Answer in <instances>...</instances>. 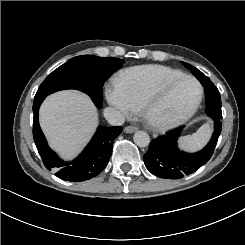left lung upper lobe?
Segmentation results:
<instances>
[{
	"mask_svg": "<svg viewBox=\"0 0 245 245\" xmlns=\"http://www.w3.org/2000/svg\"><path fill=\"white\" fill-rule=\"evenodd\" d=\"M182 64H184L189 70H191V72L196 76L197 79L204 76L202 72H200L198 69L191 66L190 64L185 63V62H182Z\"/></svg>",
	"mask_w": 245,
	"mask_h": 245,
	"instance_id": "left-lung-upper-lobe-1",
	"label": "left lung upper lobe"
}]
</instances>
